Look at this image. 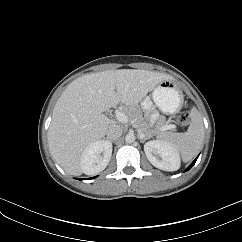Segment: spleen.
I'll use <instances>...</instances> for the list:
<instances>
[{
	"mask_svg": "<svg viewBox=\"0 0 242 242\" xmlns=\"http://www.w3.org/2000/svg\"><path fill=\"white\" fill-rule=\"evenodd\" d=\"M189 116L187 132L164 135L160 139L172 144L181 153L184 162H189L198 153L204 138L203 121L195 107L191 109Z\"/></svg>",
	"mask_w": 242,
	"mask_h": 242,
	"instance_id": "1",
	"label": "spleen"
}]
</instances>
